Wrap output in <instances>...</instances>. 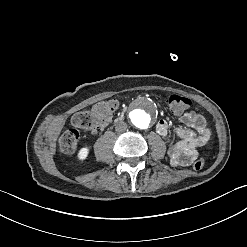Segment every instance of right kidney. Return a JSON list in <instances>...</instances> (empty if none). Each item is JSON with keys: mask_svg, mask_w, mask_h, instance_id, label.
I'll use <instances>...</instances> for the list:
<instances>
[{"mask_svg": "<svg viewBox=\"0 0 247 247\" xmlns=\"http://www.w3.org/2000/svg\"><path fill=\"white\" fill-rule=\"evenodd\" d=\"M89 149L87 147L81 148L78 153L79 160H84L88 156Z\"/></svg>", "mask_w": 247, "mask_h": 247, "instance_id": "ca27d5eb", "label": "right kidney"}]
</instances>
